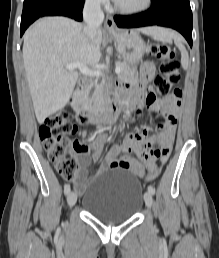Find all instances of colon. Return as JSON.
Wrapping results in <instances>:
<instances>
[{"label": "colon", "instance_id": "colon-1", "mask_svg": "<svg viewBox=\"0 0 219 258\" xmlns=\"http://www.w3.org/2000/svg\"><path fill=\"white\" fill-rule=\"evenodd\" d=\"M149 51L152 56L160 59V72L150 84V90L156 91L161 96H167L181 78L180 63L175 59L172 48L164 43H151ZM173 93H180L174 90ZM136 115H142V110L137 108ZM78 132V126L72 123L66 112L48 116L39 129V136L49 159L54 163L59 174L72 180L79 168L76 157L78 144L70 137ZM159 169L148 171L143 175L145 180L154 178Z\"/></svg>", "mask_w": 219, "mask_h": 258}]
</instances>
